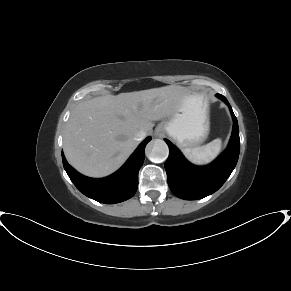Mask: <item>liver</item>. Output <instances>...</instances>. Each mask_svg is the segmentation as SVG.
Here are the masks:
<instances>
[{
  "label": "liver",
  "instance_id": "1",
  "mask_svg": "<svg viewBox=\"0 0 291 291\" xmlns=\"http://www.w3.org/2000/svg\"><path fill=\"white\" fill-rule=\"evenodd\" d=\"M183 88L165 86L105 95L79 103L63 136L67 161L80 173L105 177L119 169L138 146L137 131L173 113Z\"/></svg>",
  "mask_w": 291,
  "mask_h": 291
}]
</instances>
